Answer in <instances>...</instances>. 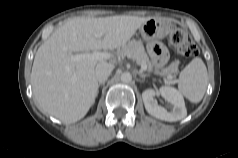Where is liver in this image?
<instances>
[{
    "instance_id": "liver-1",
    "label": "liver",
    "mask_w": 238,
    "mask_h": 158,
    "mask_svg": "<svg viewBox=\"0 0 238 158\" xmlns=\"http://www.w3.org/2000/svg\"><path fill=\"white\" fill-rule=\"evenodd\" d=\"M150 18L119 15L66 20L35 54L31 83L39 108L66 124L82 119L97 96L95 66L106 60L72 61L70 55L120 48ZM97 33L102 36L96 37Z\"/></svg>"
}]
</instances>
